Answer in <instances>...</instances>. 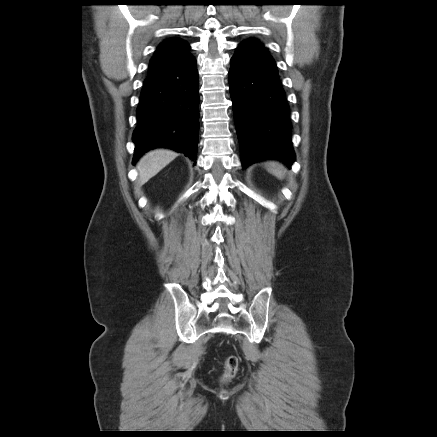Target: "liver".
I'll list each match as a JSON object with an SVG mask.
<instances>
[{
    "label": "liver",
    "instance_id": "liver-1",
    "mask_svg": "<svg viewBox=\"0 0 437 437\" xmlns=\"http://www.w3.org/2000/svg\"><path fill=\"white\" fill-rule=\"evenodd\" d=\"M177 156L176 152L168 149H155L143 155L137 164L139 183H146Z\"/></svg>",
    "mask_w": 437,
    "mask_h": 437
}]
</instances>
